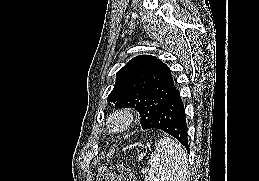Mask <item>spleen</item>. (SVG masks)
Instances as JSON below:
<instances>
[{
    "label": "spleen",
    "mask_w": 259,
    "mask_h": 181,
    "mask_svg": "<svg viewBox=\"0 0 259 181\" xmlns=\"http://www.w3.org/2000/svg\"><path fill=\"white\" fill-rule=\"evenodd\" d=\"M149 164L145 181H186L187 153L169 137L160 138Z\"/></svg>",
    "instance_id": "spleen-1"
}]
</instances>
